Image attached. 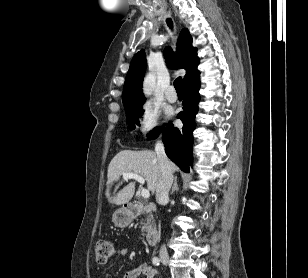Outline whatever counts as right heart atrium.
Masks as SVG:
<instances>
[{"instance_id": "d8ad5b80", "label": "right heart atrium", "mask_w": 308, "mask_h": 278, "mask_svg": "<svg viewBox=\"0 0 308 278\" xmlns=\"http://www.w3.org/2000/svg\"><path fill=\"white\" fill-rule=\"evenodd\" d=\"M161 114L157 107L151 103L141 106L137 116V129L144 137L153 136L160 128Z\"/></svg>"}]
</instances>
